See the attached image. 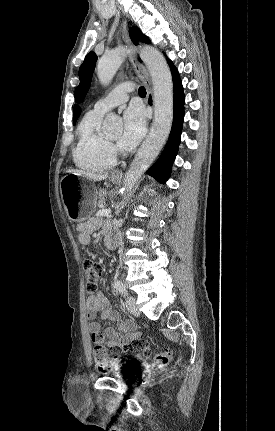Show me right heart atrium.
Wrapping results in <instances>:
<instances>
[{"label":"right heart atrium","instance_id":"1","mask_svg":"<svg viewBox=\"0 0 275 431\" xmlns=\"http://www.w3.org/2000/svg\"><path fill=\"white\" fill-rule=\"evenodd\" d=\"M114 148H113V146H111V150H113Z\"/></svg>","mask_w":275,"mask_h":431}]
</instances>
